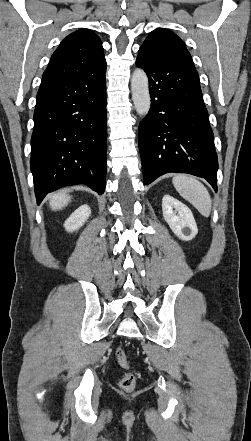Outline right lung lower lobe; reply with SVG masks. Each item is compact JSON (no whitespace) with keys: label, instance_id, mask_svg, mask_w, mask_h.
Returning <instances> with one entry per match:
<instances>
[{"label":"right lung lower lobe","instance_id":"obj_1","mask_svg":"<svg viewBox=\"0 0 251 441\" xmlns=\"http://www.w3.org/2000/svg\"><path fill=\"white\" fill-rule=\"evenodd\" d=\"M106 67L72 78H42L34 111L30 166L37 204L47 193L106 178Z\"/></svg>","mask_w":251,"mask_h":441}]
</instances>
